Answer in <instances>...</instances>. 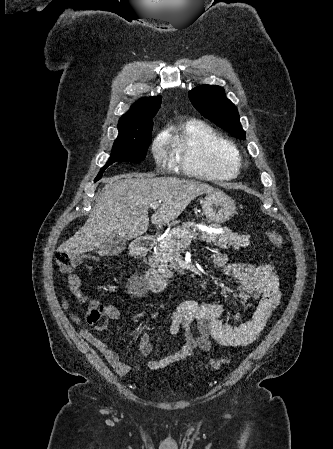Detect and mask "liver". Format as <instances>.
Wrapping results in <instances>:
<instances>
[{"label": "liver", "mask_w": 333, "mask_h": 449, "mask_svg": "<svg viewBox=\"0 0 333 449\" xmlns=\"http://www.w3.org/2000/svg\"><path fill=\"white\" fill-rule=\"evenodd\" d=\"M216 192L200 181L116 175L98 194L84 226L58 251L81 254L96 250L116 234L122 239H135L148 229V209L152 203L162 202L151 218L153 224H162L176 219L196 197Z\"/></svg>", "instance_id": "1"}]
</instances>
